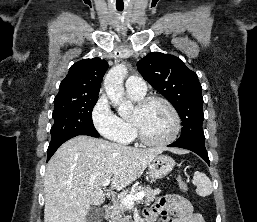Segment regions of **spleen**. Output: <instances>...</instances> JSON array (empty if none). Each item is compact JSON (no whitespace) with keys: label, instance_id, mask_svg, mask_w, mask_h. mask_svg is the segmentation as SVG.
Instances as JSON below:
<instances>
[{"label":"spleen","instance_id":"obj_1","mask_svg":"<svg viewBox=\"0 0 257 222\" xmlns=\"http://www.w3.org/2000/svg\"><path fill=\"white\" fill-rule=\"evenodd\" d=\"M194 181L196 184V193L199 196L205 197L212 193L213 187L212 182L210 179L206 176V174L201 172H195L194 173Z\"/></svg>","mask_w":257,"mask_h":222}]
</instances>
